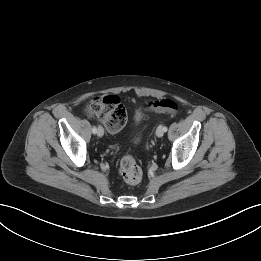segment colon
I'll return each instance as SVG.
<instances>
[{
	"label": "colon",
	"instance_id": "obj_1",
	"mask_svg": "<svg viewBox=\"0 0 261 261\" xmlns=\"http://www.w3.org/2000/svg\"><path fill=\"white\" fill-rule=\"evenodd\" d=\"M149 108L157 112L174 114L178 110V105L172 100L163 99L150 103ZM87 111L99 117L111 132L119 131L127 120L126 109L115 95L94 98L88 105ZM119 173L129 185L138 184L142 179V169L130 155L122 158Z\"/></svg>",
	"mask_w": 261,
	"mask_h": 261
}]
</instances>
